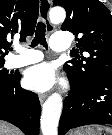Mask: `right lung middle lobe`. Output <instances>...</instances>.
Instances as JSON below:
<instances>
[{"label": "right lung middle lobe", "instance_id": "1", "mask_svg": "<svg viewBox=\"0 0 112 135\" xmlns=\"http://www.w3.org/2000/svg\"><path fill=\"white\" fill-rule=\"evenodd\" d=\"M5 61H0V87H4L13 77L14 74H10L4 66Z\"/></svg>", "mask_w": 112, "mask_h": 135}]
</instances>
